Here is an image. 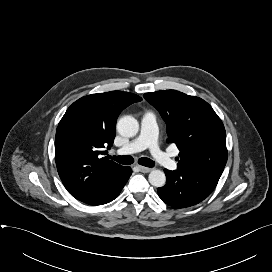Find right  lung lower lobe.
Returning <instances> with one entry per match:
<instances>
[{"mask_svg": "<svg viewBox=\"0 0 272 272\" xmlns=\"http://www.w3.org/2000/svg\"><path fill=\"white\" fill-rule=\"evenodd\" d=\"M131 174L132 170L127 166L117 178L102 184L98 190L94 191L89 196L77 199L90 205H102L109 203L119 195Z\"/></svg>", "mask_w": 272, "mask_h": 272, "instance_id": "right-lung-lower-lobe-1", "label": "right lung lower lobe"}]
</instances>
